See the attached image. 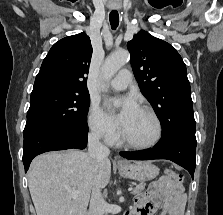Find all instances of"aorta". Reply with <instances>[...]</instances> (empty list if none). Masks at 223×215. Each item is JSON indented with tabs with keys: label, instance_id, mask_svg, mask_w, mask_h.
<instances>
[{
	"label": "aorta",
	"instance_id": "aorta-1",
	"mask_svg": "<svg viewBox=\"0 0 223 215\" xmlns=\"http://www.w3.org/2000/svg\"><path fill=\"white\" fill-rule=\"evenodd\" d=\"M130 60V54L127 50H116L111 56H108L104 60V64L101 66L100 74L103 82H109L116 72L125 66ZM102 92H108L107 86H101Z\"/></svg>",
	"mask_w": 223,
	"mask_h": 215
}]
</instances>
